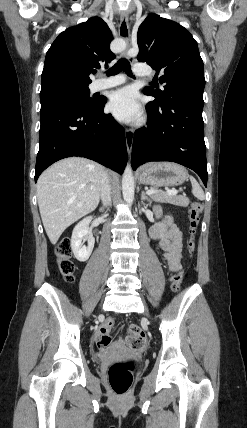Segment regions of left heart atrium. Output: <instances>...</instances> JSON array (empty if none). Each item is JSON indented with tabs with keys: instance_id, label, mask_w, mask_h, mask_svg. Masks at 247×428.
I'll list each match as a JSON object with an SVG mask.
<instances>
[{
	"instance_id": "obj_1",
	"label": "left heart atrium",
	"mask_w": 247,
	"mask_h": 428,
	"mask_svg": "<svg viewBox=\"0 0 247 428\" xmlns=\"http://www.w3.org/2000/svg\"><path fill=\"white\" fill-rule=\"evenodd\" d=\"M108 107L111 113L122 121L134 122L141 117L136 95L130 88H123L113 93Z\"/></svg>"
}]
</instances>
